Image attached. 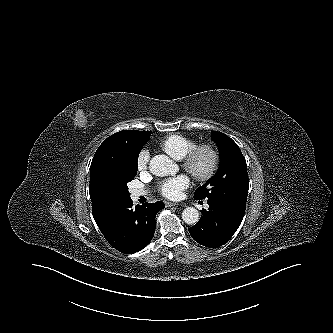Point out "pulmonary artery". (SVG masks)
<instances>
[{
	"instance_id": "pulmonary-artery-1",
	"label": "pulmonary artery",
	"mask_w": 333,
	"mask_h": 333,
	"mask_svg": "<svg viewBox=\"0 0 333 333\" xmlns=\"http://www.w3.org/2000/svg\"><path fill=\"white\" fill-rule=\"evenodd\" d=\"M146 191L145 190H142V189H135L134 191H133V195L135 196V197H139V196H143V195H146Z\"/></svg>"
}]
</instances>
